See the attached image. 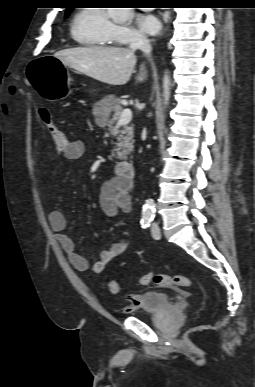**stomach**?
Listing matches in <instances>:
<instances>
[{"instance_id": "1", "label": "stomach", "mask_w": 255, "mask_h": 387, "mask_svg": "<svg viewBox=\"0 0 255 387\" xmlns=\"http://www.w3.org/2000/svg\"><path fill=\"white\" fill-rule=\"evenodd\" d=\"M25 73L26 82H31L33 91H38V95H44L49 101H56L64 97L66 91L75 90L68 67L57 55H36L35 61L25 66Z\"/></svg>"}]
</instances>
